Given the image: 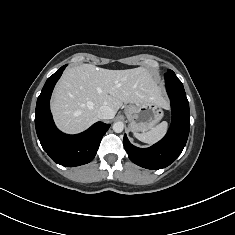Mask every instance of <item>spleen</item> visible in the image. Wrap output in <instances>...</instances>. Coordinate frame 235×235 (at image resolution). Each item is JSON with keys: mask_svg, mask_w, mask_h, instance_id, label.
I'll use <instances>...</instances> for the list:
<instances>
[{"mask_svg": "<svg viewBox=\"0 0 235 235\" xmlns=\"http://www.w3.org/2000/svg\"><path fill=\"white\" fill-rule=\"evenodd\" d=\"M168 129V123L166 121L161 122L156 127L145 133H134V136L147 144H154L159 141L166 133Z\"/></svg>", "mask_w": 235, "mask_h": 235, "instance_id": "spleen-1", "label": "spleen"}]
</instances>
